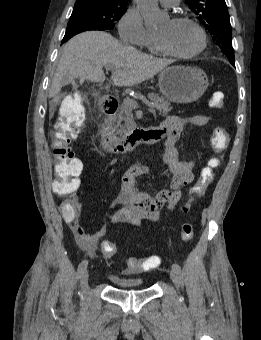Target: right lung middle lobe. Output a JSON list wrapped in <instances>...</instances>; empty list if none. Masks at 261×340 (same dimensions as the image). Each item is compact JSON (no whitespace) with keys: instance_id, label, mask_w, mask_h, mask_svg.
Here are the masks:
<instances>
[{"instance_id":"1","label":"right lung middle lobe","mask_w":261,"mask_h":340,"mask_svg":"<svg viewBox=\"0 0 261 340\" xmlns=\"http://www.w3.org/2000/svg\"><path fill=\"white\" fill-rule=\"evenodd\" d=\"M127 4L81 2L75 3L68 22L73 24H86L99 30L112 29L115 21L119 20L127 10Z\"/></svg>"}]
</instances>
